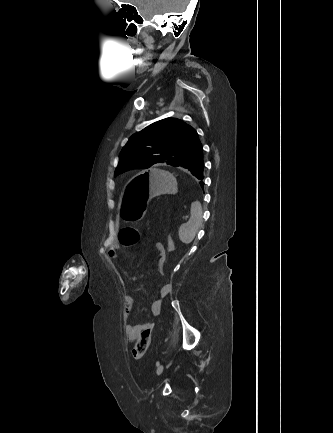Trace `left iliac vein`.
Returning <instances> with one entry per match:
<instances>
[{
	"mask_svg": "<svg viewBox=\"0 0 333 433\" xmlns=\"http://www.w3.org/2000/svg\"><path fill=\"white\" fill-rule=\"evenodd\" d=\"M163 369H164L163 365H159L156 370L157 375H160L163 372Z\"/></svg>",
	"mask_w": 333,
	"mask_h": 433,
	"instance_id": "left-iliac-vein-1",
	"label": "left iliac vein"
}]
</instances>
